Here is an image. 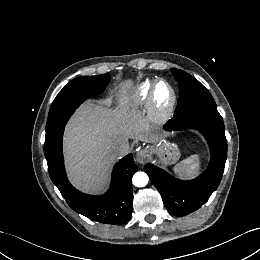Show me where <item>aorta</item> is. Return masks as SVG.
Instances as JSON below:
<instances>
[{
  "label": "aorta",
  "instance_id": "obj_1",
  "mask_svg": "<svg viewBox=\"0 0 260 260\" xmlns=\"http://www.w3.org/2000/svg\"><path fill=\"white\" fill-rule=\"evenodd\" d=\"M149 178L145 172H136L133 175L132 182L136 187H144L148 184Z\"/></svg>",
  "mask_w": 260,
  "mask_h": 260
}]
</instances>
